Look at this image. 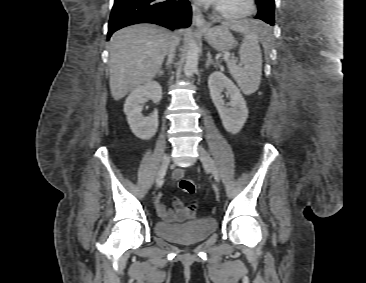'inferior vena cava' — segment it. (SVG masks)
Wrapping results in <instances>:
<instances>
[{"mask_svg":"<svg viewBox=\"0 0 366 283\" xmlns=\"http://www.w3.org/2000/svg\"><path fill=\"white\" fill-rule=\"evenodd\" d=\"M178 43V36L177 34L173 35V40L170 43V47H169V55H168V62L167 64L169 65L172 62V59L174 58V54H175V47Z\"/></svg>","mask_w":366,"mask_h":283,"instance_id":"1","label":"inferior vena cava"}]
</instances>
